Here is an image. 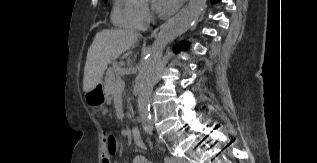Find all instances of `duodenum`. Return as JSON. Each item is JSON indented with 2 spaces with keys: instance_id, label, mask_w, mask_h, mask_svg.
I'll use <instances>...</instances> for the list:
<instances>
[{
  "instance_id": "obj_1",
  "label": "duodenum",
  "mask_w": 317,
  "mask_h": 163,
  "mask_svg": "<svg viewBox=\"0 0 317 163\" xmlns=\"http://www.w3.org/2000/svg\"><path fill=\"white\" fill-rule=\"evenodd\" d=\"M132 139L135 145L143 147L145 145L144 138L142 136L141 130L138 128H134L131 131Z\"/></svg>"
}]
</instances>
